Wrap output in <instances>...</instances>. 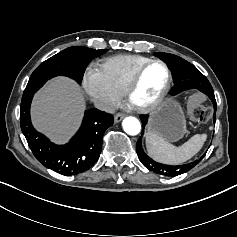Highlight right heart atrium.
I'll list each match as a JSON object with an SVG mask.
<instances>
[{
  "mask_svg": "<svg viewBox=\"0 0 237 237\" xmlns=\"http://www.w3.org/2000/svg\"><path fill=\"white\" fill-rule=\"evenodd\" d=\"M82 85L91 102L103 112L113 111L121 100L122 94L100 67L89 66L84 72Z\"/></svg>",
  "mask_w": 237,
  "mask_h": 237,
  "instance_id": "obj_1",
  "label": "right heart atrium"
}]
</instances>
